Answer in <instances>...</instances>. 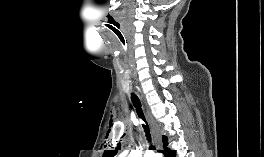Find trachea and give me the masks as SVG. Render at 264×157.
<instances>
[{
  "label": "trachea",
  "mask_w": 264,
  "mask_h": 157,
  "mask_svg": "<svg viewBox=\"0 0 264 157\" xmlns=\"http://www.w3.org/2000/svg\"><path fill=\"white\" fill-rule=\"evenodd\" d=\"M124 52H125V55L127 56V53H128V47H127V45H124ZM128 74H129V71L127 72V75ZM131 98H132V102H133L134 106L136 107L137 112L139 113L141 119L145 122V124H142V126L144 128L145 133H146L147 140L149 142H151V136H150L149 126H148V124H147V122L145 120V117L143 115V112H142V109H141V103L139 101V98L136 95H134V94H132ZM154 149L155 148L153 146H150V150H154Z\"/></svg>",
  "instance_id": "trachea-1"
}]
</instances>
